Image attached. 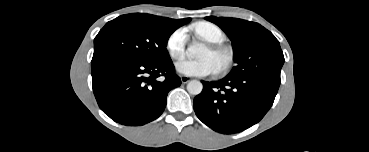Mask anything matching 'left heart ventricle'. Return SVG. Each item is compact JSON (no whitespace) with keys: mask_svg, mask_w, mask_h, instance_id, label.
<instances>
[{"mask_svg":"<svg viewBox=\"0 0 369 152\" xmlns=\"http://www.w3.org/2000/svg\"><path fill=\"white\" fill-rule=\"evenodd\" d=\"M212 57L214 58V60L216 61L217 65L219 64L218 58L216 56L213 55L211 49H209L206 53H205V57Z\"/></svg>","mask_w":369,"mask_h":152,"instance_id":"b2bd125f","label":"left heart ventricle"}]
</instances>
